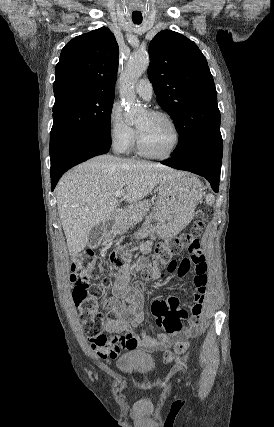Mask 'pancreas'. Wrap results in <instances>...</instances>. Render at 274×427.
Masks as SVG:
<instances>
[{"instance_id":"cf45deb5","label":"pancreas","mask_w":274,"mask_h":427,"mask_svg":"<svg viewBox=\"0 0 274 427\" xmlns=\"http://www.w3.org/2000/svg\"><path fill=\"white\" fill-rule=\"evenodd\" d=\"M151 200H144V202H135L131 206H127L124 210H121L120 214L117 215L114 223V233H124L131 225L141 221L144 215L150 212ZM135 215V217H133Z\"/></svg>"}]
</instances>
